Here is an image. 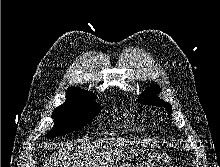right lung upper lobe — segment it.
I'll return each mask as SVG.
<instances>
[{
  "instance_id": "obj_1",
  "label": "right lung upper lobe",
  "mask_w": 220,
  "mask_h": 167,
  "mask_svg": "<svg viewBox=\"0 0 220 167\" xmlns=\"http://www.w3.org/2000/svg\"><path fill=\"white\" fill-rule=\"evenodd\" d=\"M67 102L70 101H81V100H93L96 95L87 92L81 88L70 87L66 92Z\"/></svg>"
}]
</instances>
